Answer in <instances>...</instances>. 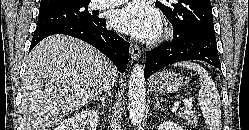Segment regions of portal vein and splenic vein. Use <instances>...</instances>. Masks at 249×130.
I'll return each mask as SVG.
<instances>
[{"label":"portal vein and splenic vein","instance_id":"18ae733b","mask_svg":"<svg viewBox=\"0 0 249 130\" xmlns=\"http://www.w3.org/2000/svg\"><path fill=\"white\" fill-rule=\"evenodd\" d=\"M183 104L184 105H191V100L183 99Z\"/></svg>","mask_w":249,"mask_h":130}]
</instances>
